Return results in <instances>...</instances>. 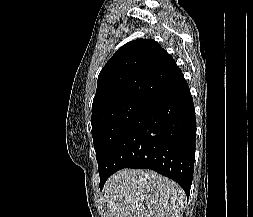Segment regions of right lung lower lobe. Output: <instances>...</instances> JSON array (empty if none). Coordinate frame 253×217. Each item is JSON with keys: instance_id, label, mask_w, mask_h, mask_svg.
<instances>
[{"instance_id": "right-lung-lower-lobe-1", "label": "right lung lower lobe", "mask_w": 253, "mask_h": 217, "mask_svg": "<svg viewBox=\"0 0 253 217\" xmlns=\"http://www.w3.org/2000/svg\"><path fill=\"white\" fill-rule=\"evenodd\" d=\"M193 98L183 74L149 100L108 156L100 189L123 168L152 169L176 181L189 195L195 160Z\"/></svg>"}]
</instances>
